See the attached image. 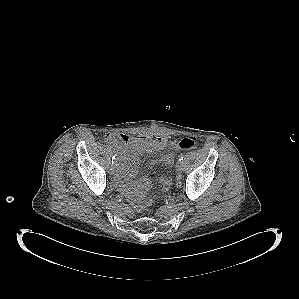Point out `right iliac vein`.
Returning a JSON list of instances; mask_svg holds the SVG:
<instances>
[{"instance_id":"63e3f726","label":"right iliac vein","mask_w":299,"mask_h":299,"mask_svg":"<svg viewBox=\"0 0 299 299\" xmlns=\"http://www.w3.org/2000/svg\"><path fill=\"white\" fill-rule=\"evenodd\" d=\"M110 173L113 175L114 174V167L110 168Z\"/></svg>"}]
</instances>
